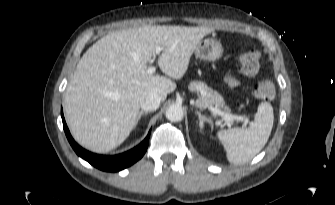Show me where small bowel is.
Segmentation results:
<instances>
[{
	"label": "small bowel",
	"mask_w": 335,
	"mask_h": 205,
	"mask_svg": "<svg viewBox=\"0 0 335 205\" xmlns=\"http://www.w3.org/2000/svg\"><path fill=\"white\" fill-rule=\"evenodd\" d=\"M225 81L232 88L238 85V80L235 77H233L230 73H226Z\"/></svg>",
	"instance_id": "c3829d8e"
}]
</instances>
